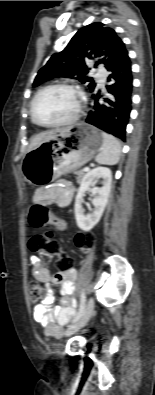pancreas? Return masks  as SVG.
<instances>
[{
	"instance_id": "cf45deb5",
	"label": "pancreas",
	"mask_w": 155,
	"mask_h": 395,
	"mask_svg": "<svg viewBox=\"0 0 155 395\" xmlns=\"http://www.w3.org/2000/svg\"><path fill=\"white\" fill-rule=\"evenodd\" d=\"M74 173L77 175V181L80 182L81 178L84 175V171L83 170H79V171H75Z\"/></svg>"
}]
</instances>
